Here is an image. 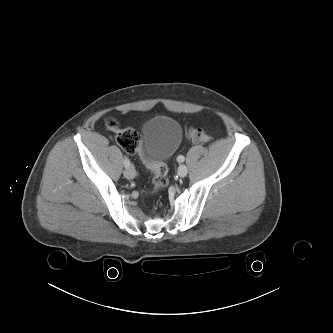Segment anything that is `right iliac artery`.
<instances>
[{"instance_id": "right-iliac-artery-1", "label": "right iliac artery", "mask_w": 333, "mask_h": 333, "mask_svg": "<svg viewBox=\"0 0 333 333\" xmlns=\"http://www.w3.org/2000/svg\"><path fill=\"white\" fill-rule=\"evenodd\" d=\"M124 166H125V168L130 167V161L127 157H125V159H124Z\"/></svg>"}]
</instances>
